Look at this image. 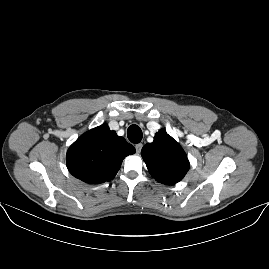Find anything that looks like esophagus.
<instances>
[{"instance_id":"esophagus-1","label":"esophagus","mask_w":269,"mask_h":269,"mask_svg":"<svg viewBox=\"0 0 269 269\" xmlns=\"http://www.w3.org/2000/svg\"><path fill=\"white\" fill-rule=\"evenodd\" d=\"M142 147H143V144L142 143H137L135 145L136 154H139L141 152Z\"/></svg>"}]
</instances>
